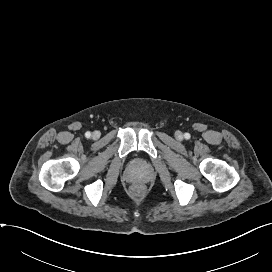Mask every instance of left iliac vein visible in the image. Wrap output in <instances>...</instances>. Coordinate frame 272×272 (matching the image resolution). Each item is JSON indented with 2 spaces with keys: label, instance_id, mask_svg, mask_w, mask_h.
<instances>
[{
  "label": "left iliac vein",
  "instance_id": "left-iliac-vein-1",
  "mask_svg": "<svg viewBox=\"0 0 272 272\" xmlns=\"http://www.w3.org/2000/svg\"><path fill=\"white\" fill-rule=\"evenodd\" d=\"M178 136H181V134H180V133H178Z\"/></svg>",
  "mask_w": 272,
  "mask_h": 272
}]
</instances>
